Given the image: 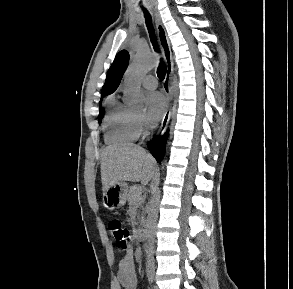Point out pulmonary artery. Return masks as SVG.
I'll list each match as a JSON object with an SVG mask.
<instances>
[{"mask_svg": "<svg viewBox=\"0 0 293 289\" xmlns=\"http://www.w3.org/2000/svg\"><path fill=\"white\" fill-rule=\"evenodd\" d=\"M142 84L145 88L153 90L157 87V79L152 75H147L142 79Z\"/></svg>", "mask_w": 293, "mask_h": 289, "instance_id": "obj_1", "label": "pulmonary artery"}]
</instances>
